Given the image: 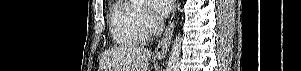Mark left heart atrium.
<instances>
[{
    "label": "left heart atrium",
    "mask_w": 301,
    "mask_h": 71,
    "mask_svg": "<svg viewBox=\"0 0 301 71\" xmlns=\"http://www.w3.org/2000/svg\"><path fill=\"white\" fill-rule=\"evenodd\" d=\"M150 2L152 11L158 17H165L172 6V0H151Z\"/></svg>",
    "instance_id": "39dd6f15"
}]
</instances>
